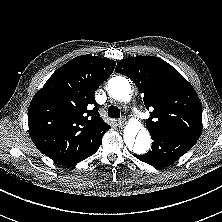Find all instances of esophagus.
Segmentation results:
<instances>
[{"mask_svg":"<svg viewBox=\"0 0 222 222\" xmlns=\"http://www.w3.org/2000/svg\"><path fill=\"white\" fill-rule=\"evenodd\" d=\"M126 123V119L124 117H122L121 119L118 120L117 125L119 127H123Z\"/></svg>","mask_w":222,"mask_h":222,"instance_id":"34e87169","label":"esophagus"}]
</instances>
